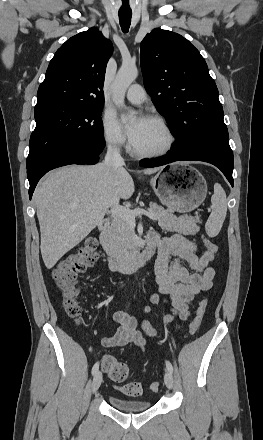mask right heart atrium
I'll return each mask as SVG.
<instances>
[{
	"instance_id": "d8ad5b80",
	"label": "right heart atrium",
	"mask_w": 263,
	"mask_h": 440,
	"mask_svg": "<svg viewBox=\"0 0 263 440\" xmlns=\"http://www.w3.org/2000/svg\"><path fill=\"white\" fill-rule=\"evenodd\" d=\"M101 129L103 140L108 147L120 149L125 146V135L112 114L107 113L103 116Z\"/></svg>"
}]
</instances>
